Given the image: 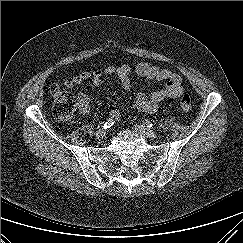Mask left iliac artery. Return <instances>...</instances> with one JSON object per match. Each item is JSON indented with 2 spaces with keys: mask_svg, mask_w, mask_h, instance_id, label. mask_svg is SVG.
<instances>
[{
  "mask_svg": "<svg viewBox=\"0 0 243 243\" xmlns=\"http://www.w3.org/2000/svg\"><path fill=\"white\" fill-rule=\"evenodd\" d=\"M141 122H142V125L146 126L147 128L153 127L152 123L148 120H141Z\"/></svg>",
  "mask_w": 243,
  "mask_h": 243,
  "instance_id": "44dca946",
  "label": "left iliac artery"
}]
</instances>
